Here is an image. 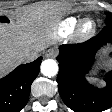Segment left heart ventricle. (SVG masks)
I'll list each match as a JSON object with an SVG mask.
<instances>
[{
	"label": "left heart ventricle",
	"mask_w": 112,
	"mask_h": 112,
	"mask_svg": "<svg viewBox=\"0 0 112 112\" xmlns=\"http://www.w3.org/2000/svg\"><path fill=\"white\" fill-rule=\"evenodd\" d=\"M89 28H90V24H87V25H86V29H89Z\"/></svg>",
	"instance_id": "obj_1"
}]
</instances>
